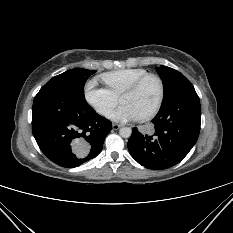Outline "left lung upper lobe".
I'll use <instances>...</instances> for the list:
<instances>
[{"instance_id": "obj_1", "label": "left lung upper lobe", "mask_w": 233, "mask_h": 233, "mask_svg": "<svg viewBox=\"0 0 233 233\" xmlns=\"http://www.w3.org/2000/svg\"><path fill=\"white\" fill-rule=\"evenodd\" d=\"M156 70L159 73L164 85V97L162 101V104H164L173 93L177 83L183 79L184 76L177 70L163 65L157 67Z\"/></svg>"}]
</instances>
